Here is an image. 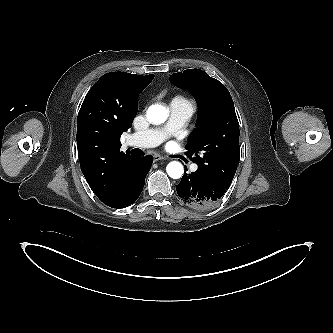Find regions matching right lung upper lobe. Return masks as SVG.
Instances as JSON below:
<instances>
[{
    "mask_svg": "<svg viewBox=\"0 0 333 333\" xmlns=\"http://www.w3.org/2000/svg\"><path fill=\"white\" fill-rule=\"evenodd\" d=\"M153 78V74L106 73L82 103L77 119L80 167L100 200L113 193L123 164L131 157L120 151V137L131 127L138 96Z\"/></svg>",
    "mask_w": 333,
    "mask_h": 333,
    "instance_id": "1",
    "label": "right lung upper lobe"
}]
</instances>
